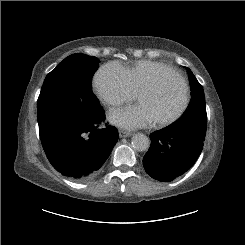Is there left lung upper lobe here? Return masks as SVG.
Here are the masks:
<instances>
[{"instance_id": "left-lung-upper-lobe-1", "label": "left lung upper lobe", "mask_w": 245, "mask_h": 245, "mask_svg": "<svg viewBox=\"0 0 245 245\" xmlns=\"http://www.w3.org/2000/svg\"><path fill=\"white\" fill-rule=\"evenodd\" d=\"M192 86V99L184 114L173 124L166 127L175 132H187L205 139L207 126V113L205 107L204 91L192 71L187 68Z\"/></svg>"}]
</instances>
